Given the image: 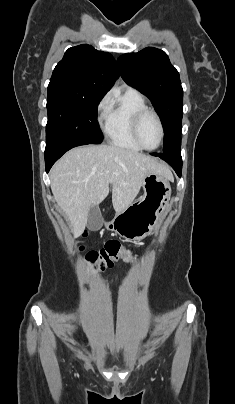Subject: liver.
Listing matches in <instances>:
<instances>
[{"mask_svg": "<svg viewBox=\"0 0 235 404\" xmlns=\"http://www.w3.org/2000/svg\"><path fill=\"white\" fill-rule=\"evenodd\" d=\"M156 173L172 180L169 167L142 153L111 145H89L67 152L50 171L53 196L75 237L84 231L88 212L109 194L116 212L131 205L144 178Z\"/></svg>", "mask_w": 235, "mask_h": 404, "instance_id": "liver-1", "label": "liver"}]
</instances>
